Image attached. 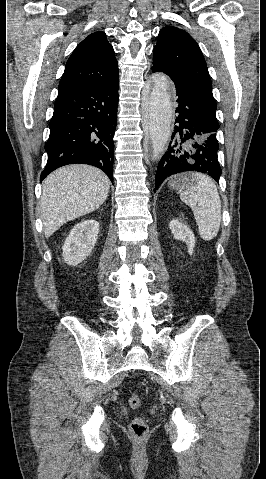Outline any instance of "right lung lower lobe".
<instances>
[{"label":"right lung lower lobe","instance_id":"obj_1","mask_svg":"<svg viewBox=\"0 0 266 479\" xmlns=\"http://www.w3.org/2000/svg\"><path fill=\"white\" fill-rule=\"evenodd\" d=\"M119 78L59 91L45 144L48 161L40 176L67 164H89L113 182V136L117 124Z\"/></svg>","mask_w":266,"mask_h":479}]
</instances>
